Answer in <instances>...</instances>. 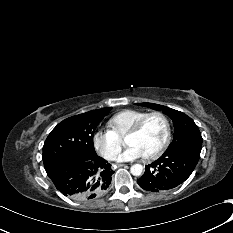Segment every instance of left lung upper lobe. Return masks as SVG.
Returning <instances> with one entry per match:
<instances>
[{"label": "left lung upper lobe", "instance_id": "obj_1", "mask_svg": "<svg viewBox=\"0 0 233 233\" xmlns=\"http://www.w3.org/2000/svg\"><path fill=\"white\" fill-rule=\"evenodd\" d=\"M137 105L145 106L154 110H162L168 114L174 124V138L166 151L174 149H186L196 152H201L202 137L198 126L186 114L153 103H138Z\"/></svg>", "mask_w": 233, "mask_h": 233}]
</instances>
